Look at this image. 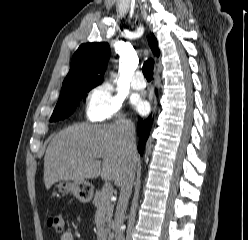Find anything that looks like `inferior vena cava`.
Instances as JSON below:
<instances>
[{"instance_id": "602c4592", "label": "inferior vena cava", "mask_w": 248, "mask_h": 240, "mask_svg": "<svg viewBox=\"0 0 248 240\" xmlns=\"http://www.w3.org/2000/svg\"><path fill=\"white\" fill-rule=\"evenodd\" d=\"M121 125L124 141L130 153L136 151L135 126L130 121H118ZM136 165L129 159L124 174L119 181L120 195L115 214V240H125L122 225L125 218L128 201L132 193L133 181L135 177Z\"/></svg>"}]
</instances>
